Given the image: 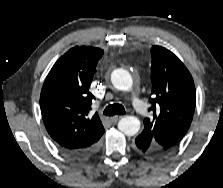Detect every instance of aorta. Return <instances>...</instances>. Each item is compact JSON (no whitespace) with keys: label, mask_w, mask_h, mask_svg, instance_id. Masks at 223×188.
<instances>
[{"label":"aorta","mask_w":223,"mask_h":188,"mask_svg":"<svg viewBox=\"0 0 223 188\" xmlns=\"http://www.w3.org/2000/svg\"><path fill=\"white\" fill-rule=\"evenodd\" d=\"M111 81L121 91H129L133 86L130 73L124 69H115L111 74ZM118 129L127 136H134L140 129V120L134 116L123 117L118 122Z\"/></svg>","instance_id":"aorta-1"}]
</instances>
